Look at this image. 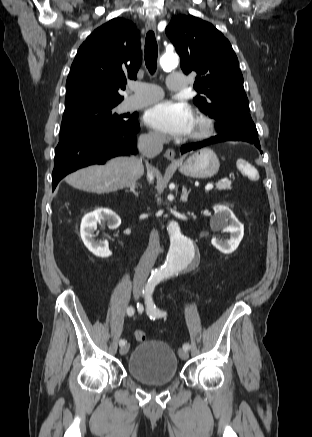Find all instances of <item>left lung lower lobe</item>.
Instances as JSON below:
<instances>
[{
  "mask_svg": "<svg viewBox=\"0 0 312 437\" xmlns=\"http://www.w3.org/2000/svg\"><path fill=\"white\" fill-rule=\"evenodd\" d=\"M223 141H236V139L229 136V135L219 134L217 136H214L210 139H207V140L199 142V143H195V144H191V145H184L181 147V153L183 154V153H186V152L191 151V150H196L198 148H202V147L207 146L209 144L223 142ZM249 143L255 145L261 151V146H260L259 142L254 141V142H249ZM261 153H262V151H261Z\"/></svg>",
  "mask_w": 312,
  "mask_h": 437,
  "instance_id": "left-lung-lower-lobe-1",
  "label": "left lung lower lobe"
}]
</instances>
